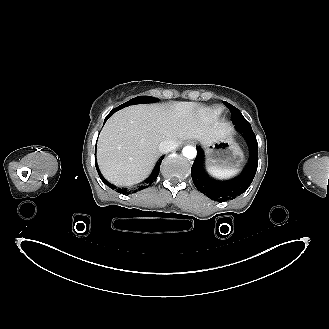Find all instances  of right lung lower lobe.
Instances as JSON below:
<instances>
[{"label": "right lung lower lobe", "instance_id": "right-lung-lower-lobe-1", "mask_svg": "<svg viewBox=\"0 0 329 329\" xmlns=\"http://www.w3.org/2000/svg\"><path fill=\"white\" fill-rule=\"evenodd\" d=\"M113 113H115V112H114V111H111V112L107 115V117H106L105 120H104V123L107 121V119H108ZM162 159H163V157H161V158L159 159V161L156 163L154 170L152 171L151 175H150V176H149V177L143 182V185H141V188L151 185V184L153 183V181L156 180V178H157V176H158V174H159V171H160V165H161ZM95 166H96V168H97L98 174H99L100 178L102 179V181H103L106 185H109L111 189H115L116 186H114V185L108 183V182L103 178V176L101 175L100 171L98 170V166H97L96 162H95ZM117 191H118L119 193H122V194H126V193H127V190H126V189H117Z\"/></svg>", "mask_w": 329, "mask_h": 329}]
</instances>
